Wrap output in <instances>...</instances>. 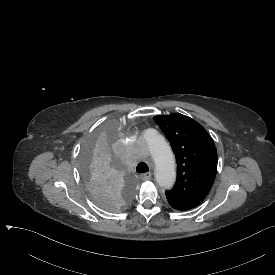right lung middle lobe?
Wrapping results in <instances>:
<instances>
[{
    "label": "right lung middle lobe",
    "instance_id": "right-lung-middle-lobe-1",
    "mask_svg": "<svg viewBox=\"0 0 275 275\" xmlns=\"http://www.w3.org/2000/svg\"><path fill=\"white\" fill-rule=\"evenodd\" d=\"M120 133L112 125H100L88 136L83 149L84 181L95 204L117 212L136 199L133 178L117 169Z\"/></svg>",
    "mask_w": 275,
    "mask_h": 275
}]
</instances>
